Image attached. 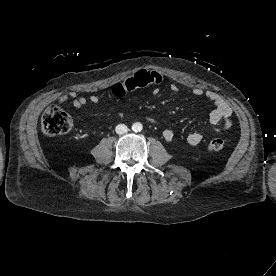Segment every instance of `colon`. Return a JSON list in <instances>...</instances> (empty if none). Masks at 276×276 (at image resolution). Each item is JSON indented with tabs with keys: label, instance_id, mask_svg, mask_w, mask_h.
<instances>
[{
	"label": "colon",
	"instance_id": "1",
	"mask_svg": "<svg viewBox=\"0 0 276 276\" xmlns=\"http://www.w3.org/2000/svg\"><path fill=\"white\" fill-rule=\"evenodd\" d=\"M41 127L46 136L55 137L68 132L72 127V120L59 106L52 105L43 113ZM224 146L222 138H213L208 142L207 148L211 152H220Z\"/></svg>",
	"mask_w": 276,
	"mask_h": 276
}]
</instances>
